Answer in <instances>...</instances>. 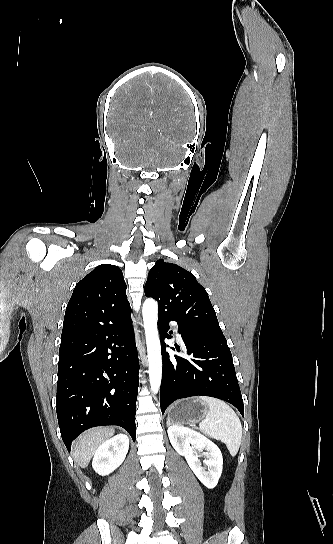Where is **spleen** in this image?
<instances>
[{
	"mask_svg": "<svg viewBox=\"0 0 333 544\" xmlns=\"http://www.w3.org/2000/svg\"><path fill=\"white\" fill-rule=\"evenodd\" d=\"M199 400L209 407L205 419L199 423L202 431L226 444L230 454L235 456L242 440V426L235 411L217 398L200 396Z\"/></svg>",
	"mask_w": 333,
	"mask_h": 544,
	"instance_id": "obj_1",
	"label": "spleen"
}]
</instances>
